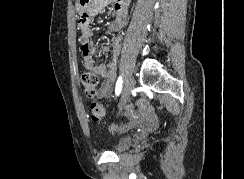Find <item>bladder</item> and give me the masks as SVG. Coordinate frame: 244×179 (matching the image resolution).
<instances>
[{
    "instance_id": "31cf9c89",
    "label": "bladder",
    "mask_w": 244,
    "mask_h": 179,
    "mask_svg": "<svg viewBox=\"0 0 244 179\" xmlns=\"http://www.w3.org/2000/svg\"><path fill=\"white\" fill-rule=\"evenodd\" d=\"M135 144V137H122L118 140V143L115 147L116 152L122 153L128 151Z\"/></svg>"
}]
</instances>
